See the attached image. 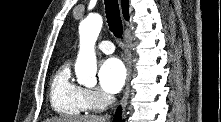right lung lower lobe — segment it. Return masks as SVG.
Listing matches in <instances>:
<instances>
[{
  "label": "right lung lower lobe",
  "mask_w": 221,
  "mask_h": 122,
  "mask_svg": "<svg viewBox=\"0 0 221 122\" xmlns=\"http://www.w3.org/2000/svg\"><path fill=\"white\" fill-rule=\"evenodd\" d=\"M115 122H121V107H118L116 111Z\"/></svg>",
  "instance_id": "right-lung-lower-lobe-1"
}]
</instances>
